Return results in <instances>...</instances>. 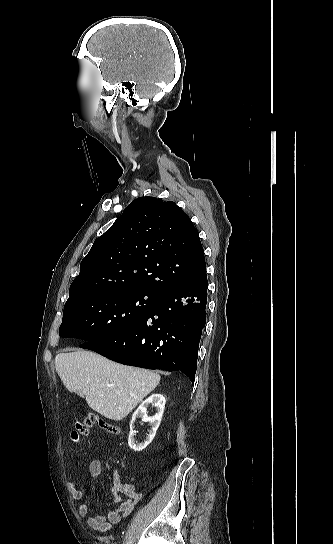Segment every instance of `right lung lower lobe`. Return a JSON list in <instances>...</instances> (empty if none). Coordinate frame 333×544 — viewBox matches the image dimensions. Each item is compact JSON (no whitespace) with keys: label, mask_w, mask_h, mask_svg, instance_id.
<instances>
[{"label":"right lung lower lobe","mask_w":333,"mask_h":544,"mask_svg":"<svg viewBox=\"0 0 333 544\" xmlns=\"http://www.w3.org/2000/svg\"><path fill=\"white\" fill-rule=\"evenodd\" d=\"M207 287L205 273L193 283L159 295L154 306L129 328L81 347L125 365L181 371L194 383Z\"/></svg>","instance_id":"right-lung-lower-lobe-1"}]
</instances>
